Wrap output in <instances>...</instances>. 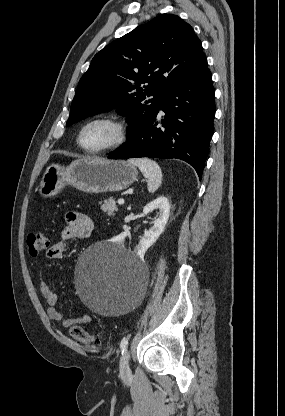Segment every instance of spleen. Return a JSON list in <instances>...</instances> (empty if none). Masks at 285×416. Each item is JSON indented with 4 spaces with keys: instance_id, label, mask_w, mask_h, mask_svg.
Segmentation results:
<instances>
[{
    "instance_id": "1",
    "label": "spleen",
    "mask_w": 285,
    "mask_h": 416,
    "mask_svg": "<svg viewBox=\"0 0 285 416\" xmlns=\"http://www.w3.org/2000/svg\"><path fill=\"white\" fill-rule=\"evenodd\" d=\"M129 164L132 166H137L140 172H142L144 178H147V190L150 194H154L158 188H160L163 180V174L160 166L153 162V160H148V158H131L128 160Z\"/></svg>"
}]
</instances>
